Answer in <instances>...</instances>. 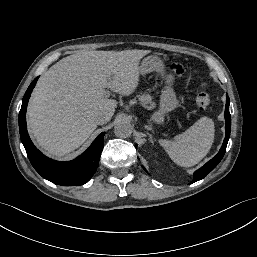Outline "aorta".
<instances>
[{"instance_id": "1", "label": "aorta", "mask_w": 257, "mask_h": 257, "mask_svg": "<svg viewBox=\"0 0 257 257\" xmlns=\"http://www.w3.org/2000/svg\"><path fill=\"white\" fill-rule=\"evenodd\" d=\"M114 133L117 137L127 138L132 134V125L129 121H119L114 127Z\"/></svg>"}]
</instances>
